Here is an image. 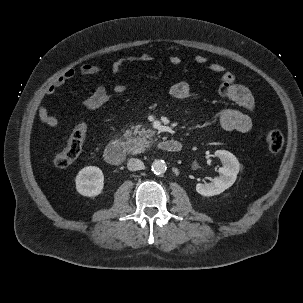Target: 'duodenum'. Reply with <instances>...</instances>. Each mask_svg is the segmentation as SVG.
I'll list each match as a JSON object with an SVG mask.
<instances>
[{
	"label": "duodenum",
	"mask_w": 303,
	"mask_h": 303,
	"mask_svg": "<svg viewBox=\"0 0 303 303\" xmlns=\"http://www.w3.org/2000/svg\"><path fill=\"white\" fill-rule=\"evenodd\" d=\"M160 150L168 153H177L182 150V144L175 139L163 140L159 143ZM126 155L125 142L115 140L107 145L104 151L105 160L111 165L120 164Z\"/></svg>",
	"instance_id": "410a0bca"
}]
</instances>
